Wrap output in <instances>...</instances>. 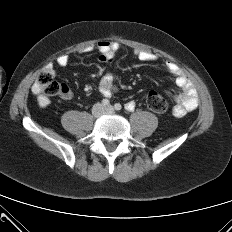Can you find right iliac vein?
Returning <instances> with one entry per match:
<instances>
[{
	"label": "right iliac vein",
	"instance_id": "1",
	"mask_svg": "<svg viewBox=\"0 0 232 232\" xmlns=\"http://www.w3.org/2000/svg\"><path fill=\"white\" fill-rule=\"evenodd\" d=\"M104 112V108L101 104L94 105L92 114L94 117H99Z\"/></svg>",
	"mask_w": 232,
	"mask_h": 232
}]
</instances>
